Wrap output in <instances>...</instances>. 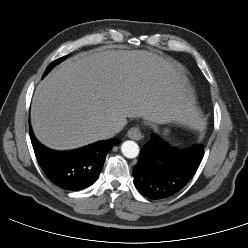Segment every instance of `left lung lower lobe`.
Segmentation results:
<instances>
[{
  "label": "left lung lower lobe",
  "mask_w": 248,
  "mask_h": 248,
  "mask_svg": "<svg viewBox=\"0 0 248 248\" xmlns=\"http://www.w3.org/2000/svg\"><path fill=\"white\" fill-rule=\"evenodd\" d=\"M203 156L202 144L173 149L156 134H152L133 169L134 185L149 199L173 196L192 179Z\"/></svg>",
  "instance_id": "obj_1"
}]
</instances>
